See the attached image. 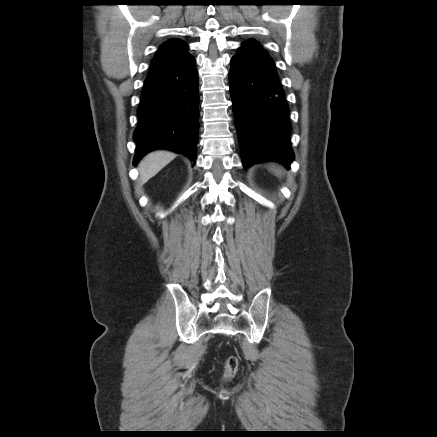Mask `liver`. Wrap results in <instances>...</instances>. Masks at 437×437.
<instances>
[{"label":"liver","instance_id":"6515ba94","mask_svg":"<svg viewBox=\"0 0 437 437\" xmlns=\"http://www.w3.org/2000/svg\"><path fill=\"white\" fill-rule=\"evenodd\" d=\"M175 157V153L164 150H157L147 154L138 166L141 183H146L150 178L154 177Z\"/></svg>","mask_w":437,"mask_h":437}]
</instances>
